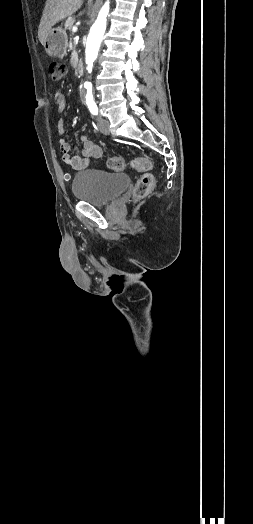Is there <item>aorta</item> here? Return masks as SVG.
<instances>
[{
	"label": "aorta",
	"instance_id": "aorta-1",
	"mask_svg": "<svg viewBox=\"0 0 253 524\" xmlns=\"http://www.w3.org/2000/svg\"><path fill=\"white\" fill-rule=\"evenodd\" d=\"M109 13V1H107L101 8L97 20L90 28V32L87 38L86 50H85V61L87 65L88 73L92 72L93 63L97 58L99 47L105 33L107 15ZM84 87L87 90L86 100H92V84L85 82Z\"/></svg>",
	"mask_w": 253,
	"mask_h": 524
}]
</instances>
